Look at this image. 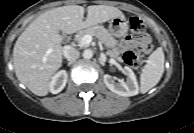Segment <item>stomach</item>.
<instances>
[{
  "instance_id": "stomach-1",
  "label": "stomach",
  "mask_w": 194,
  "mask_h": 133,
  "mask_svg": "<svg viewBox=\"0 0 194 133\" xmlns=\"http://www.w3.org/2000/svg\"><path fill=\"white\" fill-rule=\"evenodd\" d=\"M109 33L115 37H123L128 31V25L122 16L115 17L109 21Z\"/></svg>"
}]
</instances>
